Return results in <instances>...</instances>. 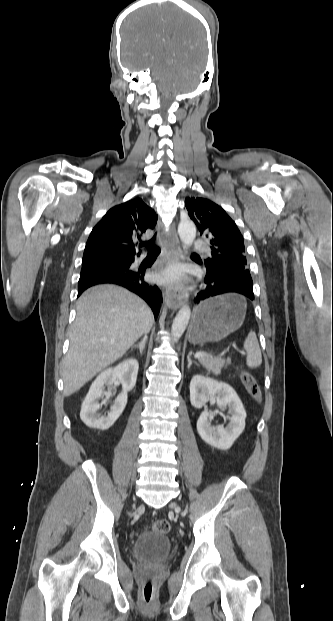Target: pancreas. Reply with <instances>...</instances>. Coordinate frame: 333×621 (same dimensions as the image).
Listing matches in <instances>:
<instances>
[{
  "label": "pancreas",
  "mask_w": 333,
  "mask_h": 621,
  "mask_svg": "<svg viewBox=\"0 0 333 621\" xmlns=\"http://www.w3.org/2000/svg\"><path fill=\"white\" fill-rule=\"evenodd\" d=\"M199 362L214 375H218L221 373V369L225 365V363L230 364V359L225 360L221 357L213 358L211 356H204L199 358Z\"/></svg>",
  "instance_id": "pancreas-1"
}]
</instances>
